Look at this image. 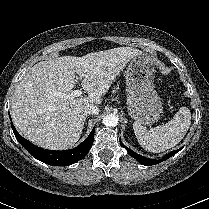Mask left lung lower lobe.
I'll return each instance as SVG.
<instances>
[{"label": "left lung lower lobe", "instance_id": "1", "mask_svg": "<svg viewBox=\"0 0 209 209\" xmlns=\"http://www.w3.org/2000/svg\"><path fill=\"white\" fill-rule=\"evenodd\" d=\"M120 144L122 147L126 148L127 152L129 153V155H131L133 158H135L139 163H141L142 165H145V166H150V165H155V164H158L160 162H163L167 159H169L170 157H172L173 155H175L177 152H179L183 147H181L180 149L178 150H174L170 153H168L167 155L163 156L161 159L159 160H154V159H149V158H146V157H143L137 153H135L134 151H132L131 149L127 148L125 145H123V143H121L120 141Z\"/></svg>", "mask_w": 209, "mask_h": 209}]
</instances>
